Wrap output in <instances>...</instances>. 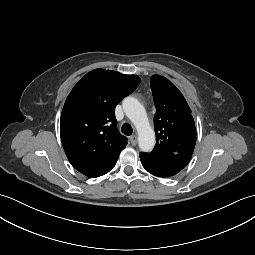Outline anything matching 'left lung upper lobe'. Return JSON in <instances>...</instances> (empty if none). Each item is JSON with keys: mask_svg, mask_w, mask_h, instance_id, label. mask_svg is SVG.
<instances>
[{"mask_svg": "<svg viewBox=\"0 0 255 255\" xmlns=\"http://www.w3.org/2000/svg\"><path fill=\"white\" fill-rule=\"evenodd\" d=\"M156 107L154 129L156 145L147 156L165 160L191 156L196 143V128L191 110L181 92L165 77L150 80Z\"/></svg>", "mask_w": 255, "mask_h": 255, "instance_id": "5c2ea615", "label": "left lung upper lobe"}]
</instances>
